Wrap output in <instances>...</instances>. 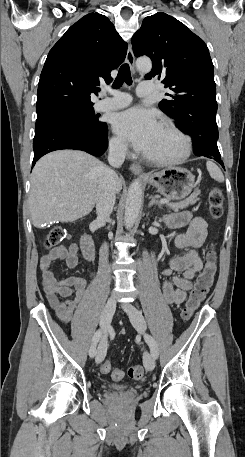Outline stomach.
Listing matches in <instances>:
<instances>
[{
    "label": "stomach",
    "instance_id": "obj_1",
    "mask_svg": "<svg viewBox=\"0 0 245 457\" xmlns=\"http://www.w3.org/2000/svg\"><path fill=\"white\" fill-rule=\"evenodd\" d=\"M146 180L149 184L156 186L159 192L167 198L180 200L190 194L194 186L195 174L181 166H166L159 172H151L150 178H146Z\"/></svg>",
    "mask_w": 245,
    "mask_h": 457
}]
</instances>
